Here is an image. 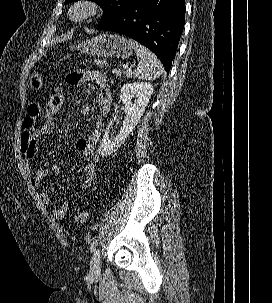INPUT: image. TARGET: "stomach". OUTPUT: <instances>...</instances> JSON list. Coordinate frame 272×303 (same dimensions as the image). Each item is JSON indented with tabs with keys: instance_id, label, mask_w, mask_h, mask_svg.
I'll return each mask as SVG.
<instances>
[{
	"instance_id": "stomach-1",
	"label": "stomach",
	"mask_w": 272,
	"mask_h": 303,
	"mask_svg": "<svg viewBox=\"0 0 272 303\" xmlns=\"http://www.w3.org/2000/svg\"><path fill=\"white\" fill-rule=\"evenodd\" d=\"M71 50H78L81 53L94 57H116L127 59L132 55L133 49L128 40L119 35L102 34L89 40L82 41L76 46L70 47ZM29 86L33 91H39L43 87L41 74L34 72L29 78Z\"/></svg>"
}]
</instances>
